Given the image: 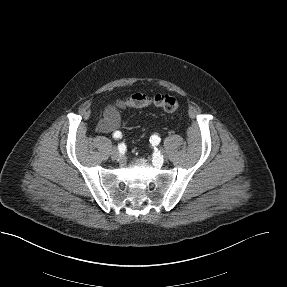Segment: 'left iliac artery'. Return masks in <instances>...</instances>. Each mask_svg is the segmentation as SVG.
<instances>
[{
    "mask_svg": "<svg viewBox=\"0 0 287 287\" xmlns=\"http://www.w3.org/2000/svg\"><path fill=\"white\" fill-rule=\"evenodd\" d=\"M160 142V138L157 135H152L150 138V143H152L153 146H157Z\"/></svg>",
    "mask_w": 287,
    "mask_h": 287,
    "instance_id": "1",
    "label": "left iliac artery"
}]
</instances>
